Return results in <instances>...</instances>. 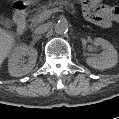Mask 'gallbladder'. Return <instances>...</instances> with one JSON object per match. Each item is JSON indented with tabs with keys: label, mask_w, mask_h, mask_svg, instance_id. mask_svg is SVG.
Wrapping results in <instances>:
<instances>
[{
	"label": "gallbladder",
	"mask_w": 119,
	"mask_h": 119,
	"mask_svg": "<svg viewBox=\"0 0 119 119\" xmlns=\"http://www.w3.org/2000/svg\"><path fill=\"white\" fill-rule=\"evenodd\" d=\"M1 24H2L5 28H10V26H11V23H10V21H9L8 19H3V20L1 21Z\"/></svg>",
	"instance_id": "1"
}]
</instances>
